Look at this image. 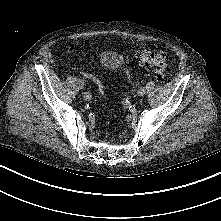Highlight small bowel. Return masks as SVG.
Listing matches in <instances>:
<instances>
[{
	"instance_id": "1",
	"label": "small bowel",
	"mask_w": 221,
	"mask_h": 221,
	"mask_svg": "<svg viewBox=\"0 0 221 221\" xmlns=\"http://www.w3.org/2000/svg\"><path fill=\"white\" fill-rule=\"evenodd\" d=\"M73 50V48H70V50L69 51H72Z\"/></svg>"
}]
</instances>
